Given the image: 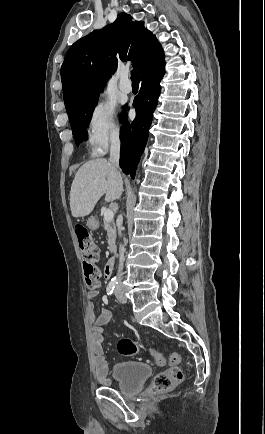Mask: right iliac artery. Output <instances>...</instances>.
I'll return each mask as SVG.
<instances>
[{
    "label": "right iliac artery",
    "mask_w": 265,
    "mask_h": 434,
    "mask_svg": "<svg viewBox=\"0 0 265 434\" xmlns=\"http://www.w3.org/2000/svg\"><path fill=\"white\" fill-rule=\"evenodd\" d=\"M117 282L115 281H110L106 290H107V294L111 295L114 292L115 286H116Z\"/></svg>",
    "instance_id": "1"
}]
</instances>
